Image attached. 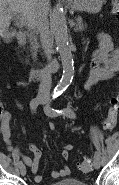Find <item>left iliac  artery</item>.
Returning a JSON list of instances; mask_svg holds the SVG:
<instances>
[{"mask_svg":"<svg viewBox=\"0 0 119 185\" xmlns=\"http://www.w3.org/2000/svg\"><path fill=\"white\" fill-rule=\"evenodd\" d=\"M44 110H45V113L48 116H51V117H55V116H58V115H64V116H67L69 118H75L76 117L73 110L71 108H68V107L63 108V109H54V108L51 107L50 104H48V105H46ZM95 156L100 157L99 152L95 151Z\"/></svg>","mask_w":119,"mask_h":185,"instance_id":"44dca946","label":"left iliac artery"}]
</instances>
